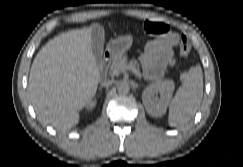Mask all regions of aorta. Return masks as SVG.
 Returning <instances> with one entry per match:
<instances>
[{
	"label": "aorta",
	"instance_id": "762f6f07",
	"mask_svg": "<svg viewBox=\"0 0 243 167\" xmlns=\"http://www.w3.org/2000/svg\"><path fill=\"white\" fill-rule=\"evenodd\" d=\"M130 90V87L127 83H121L119 86H118V91L119 93H122V94H126L128 93Z\"/></svg>",
	"mask_w": 243,
	"mask_h": 167
}]
</instances>
